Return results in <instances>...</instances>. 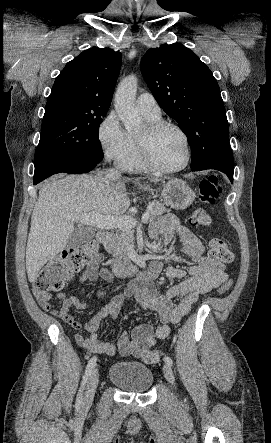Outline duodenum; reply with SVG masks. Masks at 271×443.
<instances>
[{
	"label": "duodenum",
	"instance_id": "1",
	"mask_svg": "<svg viewBox=\"0 0 271 443\" xmlns=\"http://www.w3.org/2000/svg\"><path fill=\"white\" fill-rule=\"evenodd\" d=\"M100 243L108 244L111 241V233L107 231H100L96 236ZM111 270L118 276H130L137 272V266L128 260L115 261L111 264Z\"/></svg>",
	"mask_w": 271,
	"mask_h": 443
}]
</instances>
